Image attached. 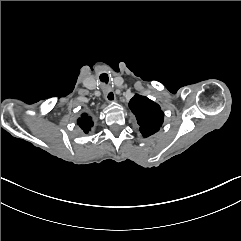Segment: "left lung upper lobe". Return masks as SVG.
Instances as JSON below:
<instances>
[{"label":"left lung upper lobe","instance_id":"left-lung-upper-lobe-1","mask_svg":"<svg viewBox=\"0 0 241 241\" xmlns=\"http://www.w3.org/2000/svg\"><path fill=\"white\" fill-rule=\"evenodd\" d=\"M129 108L136 116L143 137H149L159 130L163 123V112L157 103L145 96L135 95Z\"/></svg>","mask_w":241,"mask_h":241}]
</instances>
